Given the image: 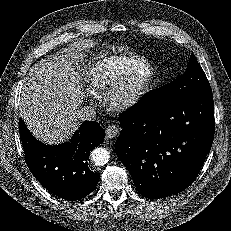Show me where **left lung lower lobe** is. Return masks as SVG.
Instances as JSON below:
<instances>
[{"instance_id": "0a47b994", "label": "left lung lower lobe", "mask_w": 231, "mask_h": 231, "mask_svg": "<svg viewBox=\"0 0 231 231\" xmlns=\"http://www.w3.org/2000/svg\"><path fill=\"white\" fill-rule=\"evenodd\" d=\"M119 120L122 131L115 151L141 195L160 199L193 183L213 143V96L158 108L141 99Z\"/></svg>"}]
</instances>
